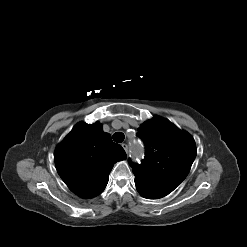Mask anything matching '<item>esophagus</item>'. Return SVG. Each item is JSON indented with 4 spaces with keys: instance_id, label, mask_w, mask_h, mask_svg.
Returning <instances> with one entry per match:
<instances>
[{
    "instance_id": "1",
    "label": "esophagus",
    "mask_w": 247,
    "mask_h": 247,
    "mask_svg": "<svg viewBox=\"0 0 247 247\" xmlns=\"http://www.w3.org/2000/svg\"><path fill=\"white\" fill-rule=\"evenodd\" d=\"M122 147L125 150V152L128 153V145L126 143H123Z\"/></svg>"
}]
</instances>
